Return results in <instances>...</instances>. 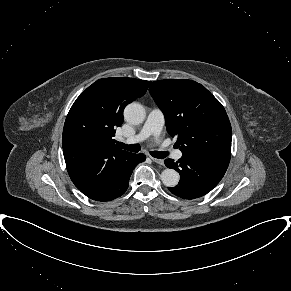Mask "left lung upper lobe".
Listing matches in <instances>:
<instances>
[{
	"instance_id": "5c2ea615",
	"label": "left lung upper lobe",
	"mask_w": 291,
	"mask_h": 291,
	"mask_svg": "<svg viewBox=\"0 0 291 291\" xmlns=\"http://www.w3.org/2000/svg\"><path fill=\"white\" fill-rule=\"evenodd\" d=\"M149 92L163 111L170 136L182 154L231 156V125L222 104L201 84L160 80Z\"/></svg>"
}]
</instances>
